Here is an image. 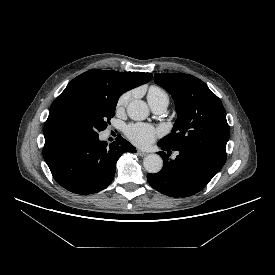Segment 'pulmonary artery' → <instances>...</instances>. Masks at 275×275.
I'll return each mask as SVG.
<instances>
[{
  "label": "pulmonary artery",
  "mask_w": 275,
  "mask_h": 275,
  "mask_svg": "<svg viewBox=\"0 0 275 275\" xmlns=\"http://www.w3.org/2000/svg\"><path fill=\"white\" fill-rule=\"evenodd\" d=\"M149 105L156 114H163L168 107V102L165 100H160L149 102Z\"/></svg>",
  "instance_id": "obj_1"
}]
</instances>
